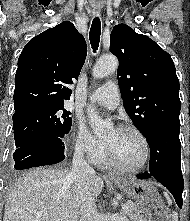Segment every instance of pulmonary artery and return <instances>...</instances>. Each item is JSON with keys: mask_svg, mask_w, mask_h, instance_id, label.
I'll list each match as a JSON object with an SVG mask.
<instances>
[{"mask_svg": "<svg viewBox=\"0 0 190 221\" xmlns=\"http://www.w3.org/2000/svg\"><path fill=\"white\" fill-rule=\"evenodd\" d=\"M89 100L108 109H115L120 103L117 84L113 81L106 82L90 95Z\"/></svg>", "mask_w": 190, "mask_h": 221, "instance_id": "e3ab8cb5", "label": "pulmonary artery"}]
</instances>
